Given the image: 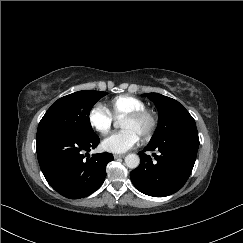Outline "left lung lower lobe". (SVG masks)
I'll return each instance as SVG.
<instances>
[{
	"label": "left lung lower lobe",
	"mask_w": 243,
	"mask_h": 243,
	"mask_svg": "<svg viewBox=\"0 0 243 243\" xmlns=\"http://www.w3.org/2000/svg\"><path fill=\"white\" fill-rule=\"evenodd\" d=\"M199 147L196 125L149 144L140 151V165L130 172V178L140 192L164 197L183 187L193 169ZM157 151L153 157L147 153Z\"/></svg>",
	"instance_id": "1"
}]
</instances>
